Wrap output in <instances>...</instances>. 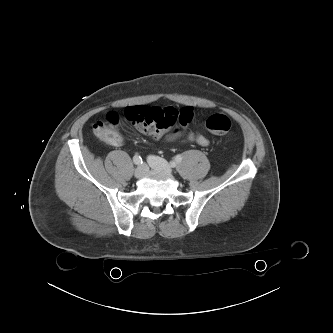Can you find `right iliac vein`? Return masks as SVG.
Returning <instances> with one entry per match:
<instances>
[{
    "label": "right iliac vein",
    "mask_w": 333,
    "mask_h": 333,
    "mask_svg": "<svg viewBox=\"0 0 333 333\" xmlns=\"http://www.w3.org/2000/svg\"><path fill=\"white\" fill-rule=\"evenodd\" d=\"M146 173V166L140 165L136 168L134 175L136 178H141Z\"/></svg>",
    "instance_id": "obj_1"
}]
</instances>
